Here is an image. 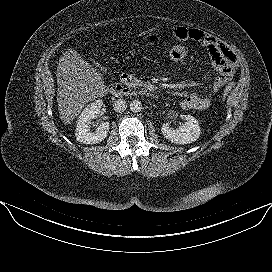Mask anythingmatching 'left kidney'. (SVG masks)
<instances>
[{"instance_id": "1", "label": "left kidney", "mask_w": 272, "mask_h": 272, "mask_svg": "<svg viewBox=\"0 0 272 272\" xmlns=\"http://www.w3.org/2000/svg\"><path fill=\"white\" fill-rule=\"evenodd\" d=\"M186 122L178 128H171L169 124H163L161 131L166 139L175 144H190L200 136V126L196 118L185 116Z\"/></svg>"}]
</instances>
